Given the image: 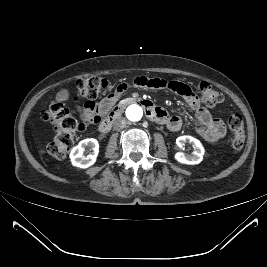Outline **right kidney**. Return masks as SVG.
I'll return each instance as SVG.
<instances>
[{"label":"right kidney","instance_id":"obj_1","mask_svg":"<svg viewBox=\"0 0 267 267\" xmlns=\"http://www.w3.org/2000/svg\"><path fill=\"white\" fill-rule=\"evenodd\" d=\"M85 149H89L91 152L86 157L84 156ZM99 152L98 141L94 138L84 139L74 147L70 153V159L72 165L80 168H88L96 161Z\"/></svg>","mask_w":267,"mask_h":267}]
</instances>
